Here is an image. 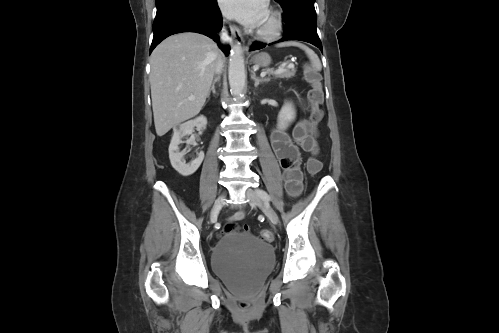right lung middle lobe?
<instances>
[{"instance_id":"obj_1","label":"right lung middle lobe","mask_w":499,"mask_h":333,"mask_svg":"<svg viewBox=\"0 0 499 333\" xmlns=\"http://www.w3.org/2000/svg\"><path fill=\"white\" fill-rule=\"evenodd\" d=\"M171 1H179V0H156V7L158 8L159 6ZM180 1H187L193 4H203L208 0H180Z\"/></svg>"}]
</instances>
